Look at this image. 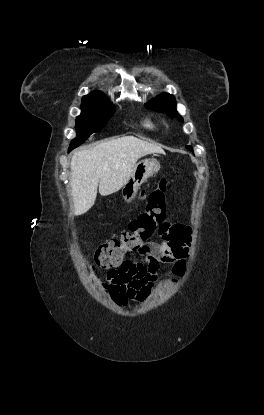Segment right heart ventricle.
<instances>
[{"label": "right heart ventricle", "mask_w": 264, "mask_h": 415, "mask_svg": "<svg viewBox=\"0 0 264 415\" xmlns=\"http://www.w3.org/2000/svg\"><path fill=\"white\" fill-rule=\"evenodd\" d=\"M143 126L148 130H155L157 128V124L150 119H145L143 121Z\"/></svg>", "instance_id": "e07e8e85"}]
</instances>
